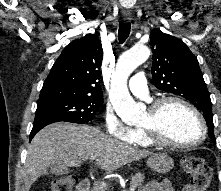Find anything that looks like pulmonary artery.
<instances>
[{
  "label": "pulmonary artery",
  "instance_id": "obj_1",
  "mask_svg": "<svg viewBox=\"0 0 221 191\" xmlns=\"http://www.w3.org/2000/svg\"><path fill=\"white\" fill-rule=\"evenodd\" d=\"M130 91L138 97L149 100L148 97V86L145 79L144 72L140 71L136 73L129 81Z\"/></svg>",
  "mask_w": 221,
  "mask_h": 191
}]
</instances>
